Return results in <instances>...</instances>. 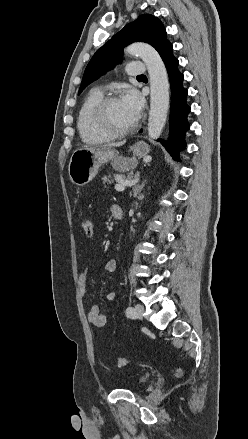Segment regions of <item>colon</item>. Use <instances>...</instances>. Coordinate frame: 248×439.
I'll return each instance as SVG.
<instances>
[{"instance_id":"obj_1","label":"colon","mask_w":248,"mask_h":439,"mask_svg":"<svg viewBox=\"0 0 248 439\" xmlns=\"http://www.w3.org/2000/svg\"><path fill=\"white\" fill-rule=\"evenodd\" d=\"M82 229L86 236H91L93 234L94 226L93 222L90 219H85L82 222ZM127 363L126 358L119 357L117 358V364L118 366H125ZM183 374V371L179 368L176 370V375L181 376Z\"/></svg>"}]
</instances>
